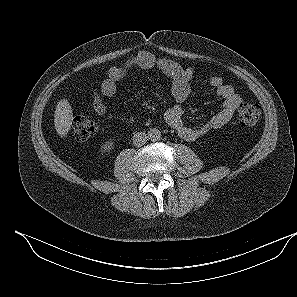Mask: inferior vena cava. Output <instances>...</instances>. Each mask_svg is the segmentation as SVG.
<instances>
[{"label": "inferior vena cava", "mask_w": 297, "mask_h": 297, "mask_svg": "<svg viewBox=\"0 0 297 297\" xmlns=\"http://www.w3.org/2000/svg\"><path fill=\"white\" fill-rule=\"evenodd\" d=\"M148 140V135L145 132H137L133 136V144L137 147L143 146Z\"/></svg>", "instance_id": "obj_1"}]
</instances>
